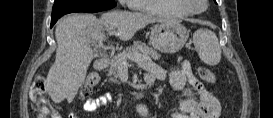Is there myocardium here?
<instances>
[{"label": "myocardium", "mask_w": 273, "mask_h": 118, "mask_svg": "<svg viewBox=\"0 0 273 118\" xmlns=\"http://www.w3.org/2000/svg\"><path fill=\"white\" fill-rule=\"evenodd\" d=\"M182 7L186 9L188 14H200L207 9V1L205 0H179Z\"/></svg>", "instance_id": "f54148a6"}]
</instances>
